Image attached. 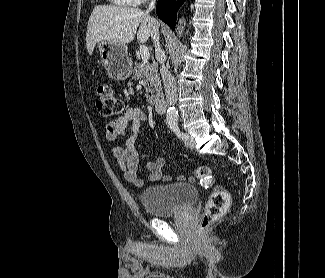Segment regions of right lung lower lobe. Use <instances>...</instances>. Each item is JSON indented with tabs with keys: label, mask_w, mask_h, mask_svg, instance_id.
Returning <instances> with one entry per match:
<instances>
[{
	"label": "right lung lower lobe",
	"mask_w": 325,
	"mask_h": 278,
	"mask_svg": "<svg viewBox=\"0 0 325 278\" xmlns=\"http://www.w3.org/2000/svg\"><path fill=\"white\" fill-rule=\"evenodd\" d=\"M185 0H158L156 12L158 17L167 23L172 30L175 28L176 15Z\"/></svg>",
	"instance_id": "98d812e1"
}]
</instances>
